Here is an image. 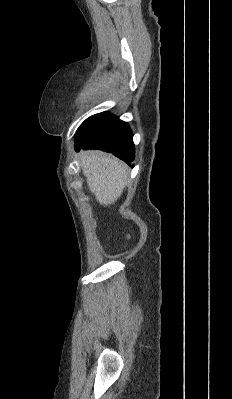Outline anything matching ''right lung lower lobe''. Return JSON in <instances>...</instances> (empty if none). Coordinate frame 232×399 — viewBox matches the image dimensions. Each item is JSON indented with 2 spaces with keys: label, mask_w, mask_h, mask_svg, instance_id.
Wrapping results in <instances>:
<instances>
[{
  "label": "right lung lower lobe",
  "mask_w": 232,
  "mask_h": 399,
  "mask_svg": "<svg viewBox=\"0 0 232 399\" xmlns=\"http://www.w3.org/2000/svg\"><path fill=\"white\" fill-rule=\"evenodd\" d=\"M75 150L99 149L111 152L130 165L134 160L132 132L126 122L103 112L85 120L75 135Z\"/></svg>",
  "instance_id": "obj_1"
}]
</instances>
